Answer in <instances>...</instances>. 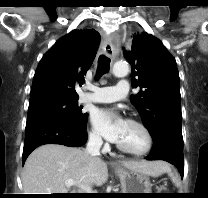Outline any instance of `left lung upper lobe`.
I'll list each match as a JSON object with an SVG mask.
<instances>
[{"label":"left lung upper lobe","mask_w":208,"mask_h":198,"mask_svg":"<svg viewBox=\"0 0 208 198\" xmlns=\"http://www.w3.org/2000/svg\"><path fill=\"white\" fill-rule=\"evenodd\" d=\"M132 66V87H140L131 102L139 111L153 141L171 135L180 141L182 114L180 79L175 59L156 37L142 32L133 37L130 51H124Z\"/></svg>","instance_id":"left-lung-upper-lobe-1"}]
</instances>
